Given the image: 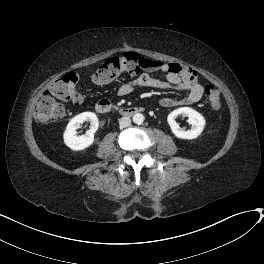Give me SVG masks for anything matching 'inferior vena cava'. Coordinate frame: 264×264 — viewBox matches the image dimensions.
Wrapping results in <instances>:
<instances>
[{
    "label": "inferior vena cava",
    "mask_w": 264,
    "mask_h": 264,
    "mask_svg": "<svg viewBox=\"0 0 264 264\" xmlns=\"http://www.w3.org/2000/svg\"><path fill=\"white\" fill-rule=\"evenodd\" d=\"M131 124V120L128 117H122L119 119L120 127H128Z\"/></svg>",
    "instance_id": "602c4592"
}]
</instances>
